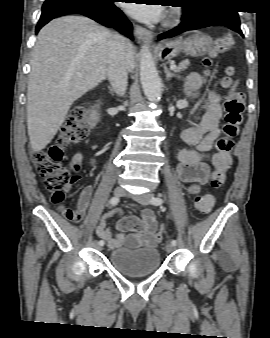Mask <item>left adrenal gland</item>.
Here are the masks:
<instances>
[{
    "label": "left adrenal gland",
    "mask_w": 270,
    "mask_h": 338,
    "mask_svg": "<svg viewBox=\"0 0 270 338\" xmlns=\"http://www.w3.org/2000/svg\"><path fill=\"white\" fill-rule=\"evenodd\" d=\"M164 71H165V74H166V80H170L172 77H178V75H176L175 73H172L168 68L167 66L165 65L164 66Z\"/></svg>",
    "instance_id": "1"
}]
</instances>
